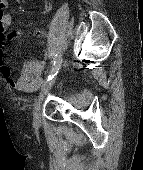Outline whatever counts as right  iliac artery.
<instances>
[{
  "instance_id": "right-iliac-artery-1",
  "label": "right iliac artery",
  "mask_w": 143,
  "mask_h": 170,
  "mask_svg": "<svg viewBox=\"0 0 143 170\" xmlns=\"http://www.w3.org/2000/svg\"><path fill=\"white\" fill-rule=\"evenodd\" d=\"M61 61H62L61 58L55 55L53 66L50 71V74L47 77V81L52 80L58 74L60 66H61Z\"/></svg>"
}]
</instances>
